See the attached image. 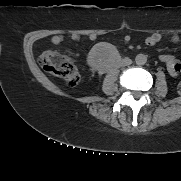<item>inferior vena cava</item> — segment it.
<instances>
[{"instance_id": "1", "label": "inferior vena cava", "mask_w": 181, "mask_h": 181, "mask_svg": "<svg viewBox=\"0 0 181 181\" xmlns=\"http://www.w3.org/2000/svg\"><path fill=\"white\" fill-rule=\"evenodd\" d=\"M130 64H132V60L129 59V58H124V59H122V61H121V65H122V66H128V65H130Z\"/></svg>"}]
</instances>
